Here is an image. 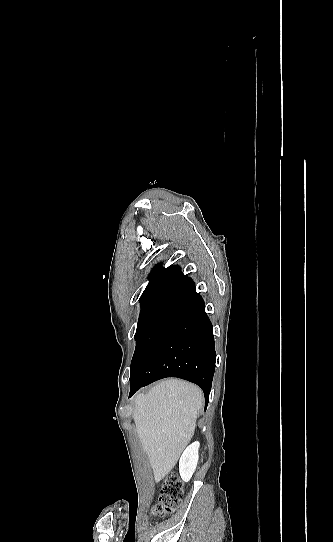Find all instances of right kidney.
Wrapping results in <instances>:
<instances>
[{"label": "right kidney", "instance_id": "1", "mask_svg": "<svg viewBox=\"0 0 333 542\" xmlns=\"http://www.w3.org/2000/svg\"><path fill=\"white\" fill-rule=\"evenodd\" d=\"M199 446V442H193V444H190V446L184 450L179 460V474L183 482H189L196 470L199 460Z\"/></svg>", "mask_w": 333, "mask_h": 542}]
</instances>
